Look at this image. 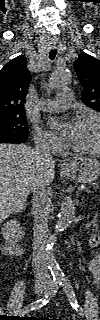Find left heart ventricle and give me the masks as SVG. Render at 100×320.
Instances as JSON below:
<instances>
[{"instance_id":"obj_1","label":"left heart ventricle","mask_w":100,"mask_h":320,"mask_svg":"<svg viewBox=\"0 0 100 320\" xmlns=\"http://www.w3.org/2000/svg\"><path fill=\"white\" fill-rule=\"evenodd\" d=\"M98 140V125L95 121L78 122L70 138V144L83 149L94 148Z\"/></svg>"}]
</instances>
